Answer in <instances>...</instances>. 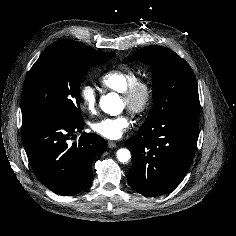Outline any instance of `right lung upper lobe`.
Instances as JSON below:
<instances>
[{
  "mask_svg": "<svg viewBox=\"0 0 236 236\" xmlns=\"http://www.w3.org/2000/svg\"><path fill=\"white\" fill-rule=\"evenodd\" d=\"M77 43H78L79 46H80L81 48H83L84 50H87V51H91V50H93V49L87 47L86 45H84V44H82V43H79V42H77Z\"/></svg>",
  "mask_w": 236,
  "mask_h": 236,
  "instance_id": "1",
  "label": "right lung upper lobe"
}]
</instances>
